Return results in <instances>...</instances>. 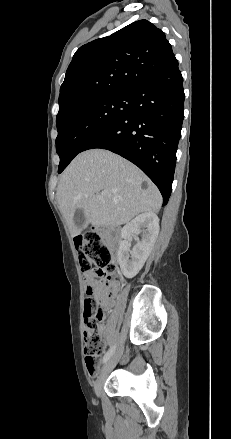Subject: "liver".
Masks as SVG:
<instances>
[{
  "mask_svg": "<svg viewBox=\"0 0 231 439\" xmlns=\"http://www.w3.org/2000/svg\"><path fill=\"white\" fill-rule=\"evenodd\" d=\"M99 194L103 199H97ZM57 199L73 236L88 224L120 226L139 214L157 213L162 205L158 188L138 167L104 149L87 150L74 158L60 178ZM77 209L84 212L82 227L74 222Z\"/></svg>",
  "mask_w": 231,
  "mask_h": 439,
  "instance_id": "obj_1",
  "label": "liver"
}]
</instances>
